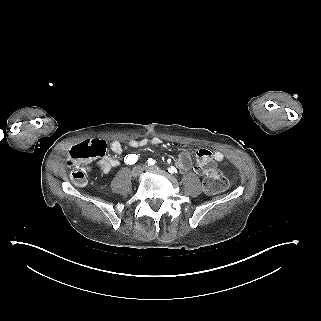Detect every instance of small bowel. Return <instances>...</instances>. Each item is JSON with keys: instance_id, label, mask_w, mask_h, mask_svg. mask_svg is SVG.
Listing matches in <instances>:
<instances>
[{"instance_id": "small-bowel-1", "label": "small bowel", "mask_w": 321, "mask_h": 321, "mask_svg": "<svg viewBox=\"0 0 321 321\" xmlns=\"http://www.w3.org/2000/svg\"><path fill=\"white\" fill-rule=\"evenodd\" d=\"M95 144H98L102 146L103 153L99 156V160L96 162V167L99 168L104 173H110L111 171L115 170L120 162L111 156H108L105 154V151L107 149V144L104 141L97 140L94 142ZM162 143V140L160 138H152L150 140L148 139H131L128 142V145L131 148H139V147H145L148 145H159ZM109 149L117 154L120 155L123 152V148L118 141H113L109 144ZM224 156L219 151H211L206 148L199 149L196 153L195 159L192 158L191 154L189 152H183L179 159L177 160L176 164L177 167L183 171H189L193 170L196 173L200 175H206L208 172H210L216 163L223 162ZM88 163V162H86ZM87 170H90V166H86Z\"/></svg>"}]
</instances>
